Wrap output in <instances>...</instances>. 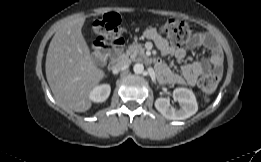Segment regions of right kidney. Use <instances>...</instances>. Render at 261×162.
<instances>
[{
	"instance_id": "ca27d5eb",
	"label": "right kidney",
	"mask_w": 261,
	"mask_h": 162,
	"mask_svg": "<svg viewBox=\"0 0 261 162\" xmlns=\"http://www.w3.org/2000/svg\"><path fill=\"white\" fill-rule=\"evenodd\" d=\"M111 87L109 84H102L93 88L89 94L90 100L99 103L104 102L110 95Z\"/></svg>"
}]
</instances>
